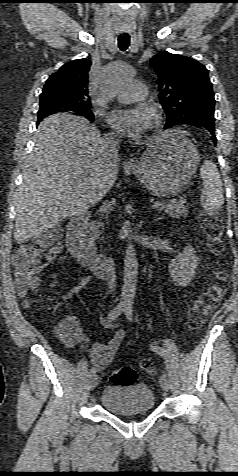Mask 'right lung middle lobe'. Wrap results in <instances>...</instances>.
Instances as JSON below:
<instances>
[{"label":"right lung middle lobe","mask_w":238,"mask_h":476,"mask_svg":"<svg viewBox=\"0 0 238 476\" xmlns=\"http://www.w3.org/2000/svg\"><path fill=\"white\" fill-rule=\"evenodd\" d=\"M73 113L75 115H81L87 118L88 120H93L94 115L90 110V106L79 108L76 110H68L60 104L54 102H40L39 111H38V121L42 120L43 117L49 116L54 113Z\"/></svg>","instance_id":"right-lung-middle-lobe-1"}]
</instances>
